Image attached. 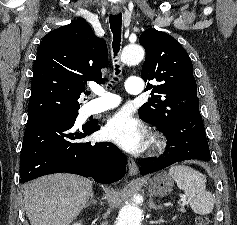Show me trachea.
I'll list each match as a JSON object with an SVG mask.
<instances>
[{
  "instance_id": "1",
  "label": "trachea",
  "mask_w": 237,
  "mask_h": 225,
  "mask_svg": "<svg viewBox=\"0 0 237 225\" xmlns=\"http://www.w3.org/2000/svg\"><path fill=\"white\" fill-rule=\"evenodd\" d=\"M109 23L111 31L113 33V52L114 56H116L120 49L122 14L119 13L117 15H110ZM115 70V74L118 75L120 73L119 65L116 64ZM115 80H117V78H115Z\"/></svg>"
}]
</instances>
